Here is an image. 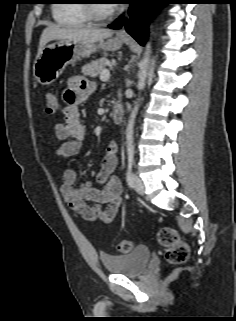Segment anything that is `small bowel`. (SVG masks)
I'll return each instance as SVG.
<instances>
[{
	"instance_id": "c3829d8e",
	"label": "small bowel",
	"mask_w": 236,
	"mask_h": 321,
	"mask_svg": "<svg viewBox=\"0 0 236 321\" xmlns=\"http://www.w3.org/2000/svg\"><path fill=\"white\" fill-rule=\"evenodd\" d=\"M93 91L94 85L84 77H71L68 80V87L63 92L66 104L62 112L63 121L53 127L54 135L63 141L55 151L58 157H70L79 153L86 133L81 122L80 106ZM117 148L116 140L112 139L94 181L76 186L77 171L67 169L63 173L61 194L70 208L87 221L99 220L109 223L117 215L122 204V184L116 176ZM96 185H102V188Z\"/></svg>"
}]
</instances>
